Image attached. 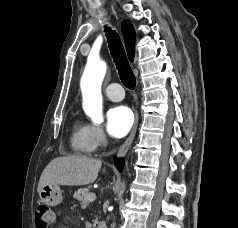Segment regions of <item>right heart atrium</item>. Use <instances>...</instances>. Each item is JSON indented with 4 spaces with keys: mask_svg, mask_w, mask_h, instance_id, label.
Returning a JSON list of instances; mask_svg holds the SVG:
<instances>
[{
    "mask_svg": "<svg viewBox=\"0 0 238 228\" xmlns=\"http://www.w3.org/2000/svg\"><path fill=\"white\" fill-rule=\"evenodd\" d=\"M87 129L90 141L94 149L105 147L107 145L108 142L107 136L100 125L96 124L87 125Z\"/></svg>",
    "mask_w": 238,
    "mask_h": 228,
    "instance_id": "d8ad5b80",
    "label": "right heart atrium"
}]
</instances>
